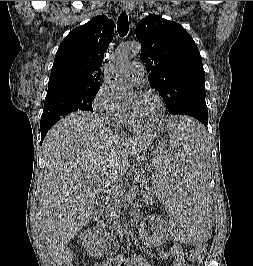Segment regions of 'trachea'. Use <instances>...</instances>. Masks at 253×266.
I'll return each instance as SVG.
<instances>
[{
    "mask_svg": "<svg viewBox=\"0 0 253 266\" xmlns=\"http://www.w3.org/2000/svg\"><path fill=\"white\" fill-rule=\"evenodd\" d=\"M128 29H129L128 16L125 12H122L118 17V22H117V30L119 35L122 37L127 35Z\"/></svg>",
    "mask_w": 253,
    "mask_h": 266,
    "instance_id": "obj_1",
    "label": "trachea"
}]
</instances>
